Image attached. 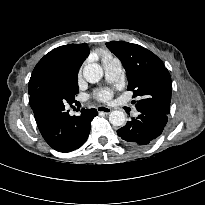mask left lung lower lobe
<instances>
[{
	"label": "left lung lower lobe",
	"mask_w": 205,
	"mask_h": 205,
	"mask_svg": "<svg viewBox=\"0 0 205 205\" xmlns=\"http://www.w3.org/2000/svg\"><path fill=\"white\" fill-rule=\"evenodd\" d=\"M140 115L117 131L118 136L127 144L141 147L153 142L161 133L168 121V115L156 110L137 109Z\"/></svg>",
	"instance_id": "1"
}]
</instances>
